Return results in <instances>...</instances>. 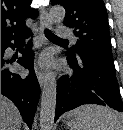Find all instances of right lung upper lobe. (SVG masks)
Instances as JSON below:
<instances>
[{
	"mask_svg": "<svg viewBox=\"0 0 123 130\" xmlns=\"http://www.w3.org/2000/svg\"><path fill=\"white\" fill-rule=\"evenodd\" d=\"M32 0H1V42L30 32L26 18H36L38 11L30 8Z\"/></svg>",
	"mask_w": 123,
	"mask_h": 130,
	"instance_id": "cb5924a9",
	"label": "right lung upper lobe"
}]
</instances>
